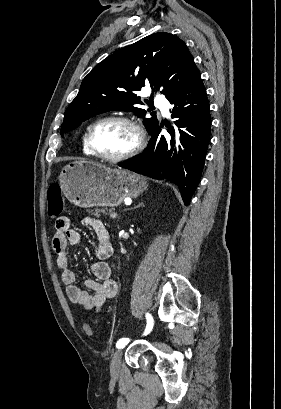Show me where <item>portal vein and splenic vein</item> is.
<instances>
[{
    "label": "portal vein and splenic vein",
    "mask_w": 281,
    "mask_h": 409,
    "mask_svg": "<svg viewBox=\"0 0 281 409\" xmlns=\"http://www.w3.org/2000/svg\"><path fill=\"white\" fill-rule=\"evenodd\" d=\"M109 216L112 217V219H116L117 215L114 212H110Z\"/></svg>",
    "instance_id": "obj_1"
}]
</instances>
